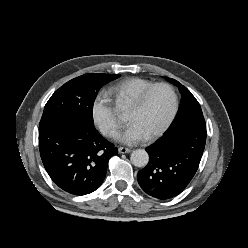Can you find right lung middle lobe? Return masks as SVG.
<instances>
[{
  "label": "right lung middle lobe",
  "instance_id": "obj_1",
  "mask_svg": "<svg viewBox=\"0 0 248 248\" xmlns=\"http://www.w3.org/2000/svg\"><path fill=\"white\" fill-rule=\"evenodd\" d=\"M119 76L89 73L65 83L46 103L39 124V133L65 121H76L94 126L92 110L97 93L102 86Z\"/></svg>",
  "mask_w": 248,
  "mask_h": 248
}]
</instances>
